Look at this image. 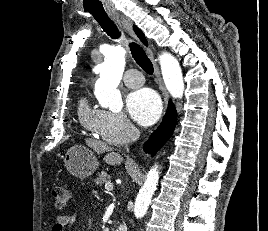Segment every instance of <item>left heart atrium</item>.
I'll use <instances>...</instances> for the list:
<instances>
[{"label": "left heart atrium", "instance_id": "1", "mask_svg": "<svg viewBox=\"0 0 268 231\" xmlns=\"http://www.w3.org/2000/svg\"><path fill=\"white\" fill-rule=\"evenodd\" d=\"M126 109L133 121L142 126H151L159 119L162 105L156 92L142 88L127 96Z\"/></svg>", "mask_w": 268, "mask_h": 231}]
</instances>
